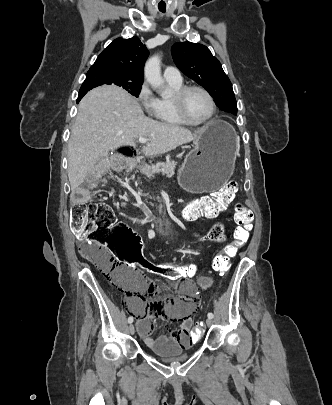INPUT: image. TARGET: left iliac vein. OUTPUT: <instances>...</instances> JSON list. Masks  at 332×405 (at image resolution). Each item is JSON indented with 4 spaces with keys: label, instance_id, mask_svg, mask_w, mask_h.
Segmentation results:
<instances>
[{
    "label": "left iliac vein",
    "instance_id": "left-iliac-vein-1",
    "mask_svg": "<svg viewBox=\"0 0 332 405\" xmlns=\"http://www.w3.org/2000/svg\"><path fill=\"white\" fill-rule=\"evenodd\" d=\"M212 324H213L212 319L208 318V319L206 320V325H207V326H211Z\"/></svg>",
    "mask_w": 332,
    "mask_h": 405
}]
</instances>
